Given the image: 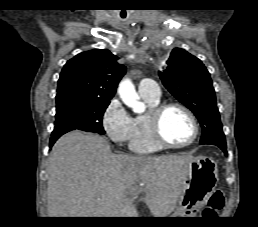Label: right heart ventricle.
<instances>
[{
	"label": "right heart ventricle",
	"mask_w": 258,
	"mask_h": 227,
	"mask_svg": "<svg viewBox=\"0 0 258 227\" xmlns=\"http://www.w3.org/2000/svg\"><path fill=\"white\" fill-rule=\"evenodd\" d=\"M143 98V97H142ZM149 108H153L160 103V99L154 100L143 98ZM130 149L135 153L148 154L161 150L151 133L148 114L138 115L134 118V134L129 142Z\"/></svg>",
	"instance_id": "1"
}]
</instances>
